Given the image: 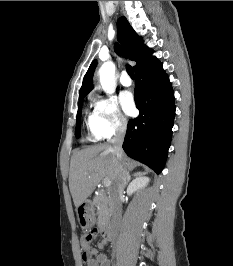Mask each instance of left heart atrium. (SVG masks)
<instances>
[{"label":"left heart atrium","mask_w":233,"mask_h":266,"mask_svg":"<svg viewBox=\"0 0 233 266\" xmlns=\"http://www.w3.org/2000/svg\"><path fill=\"white\" fill-rule=\"evenodd\" d=\"M121 104L124 112L133 115L136 111L133 95L130 92H124L121 95Z\"/></svg>","instance_id":"1"}]
</instances>
